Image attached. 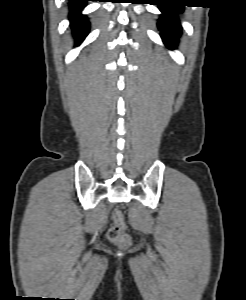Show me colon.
Masks as SVG:
<instances>
[{
	"mask_svg": "<svg viewBox=\"0 0 246 300\" xmlns=\"http://www.w3.org/2000/svg\"><path fill=\"white\" fill-rule=\"evenodd\" d=\"M107 236L115 244L126 245L129 242V236L125 230L124 217L118 208L113 211V225L108 229Z\"/></svg>",
	"mask_w": 246,
	"mask_h": 300,
	"instance_id": "1",
	"label": "colon"
}]
</instances>
